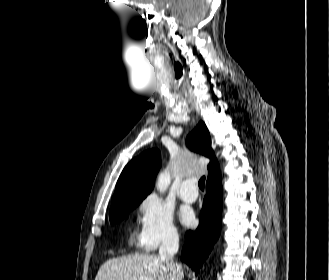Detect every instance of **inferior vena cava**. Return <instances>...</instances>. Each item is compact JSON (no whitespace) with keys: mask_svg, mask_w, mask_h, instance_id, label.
Wrapping results in <instances>:
<instances>
[{"mask_svg":"<svg viewBox=\"0 0 329 280\" xmlns=\"http://www.w3.org/2000/svg\"><path fill=\"white\" fill-rule=\"evenodd\" d=\"M179 236L176 230H170L164 236L160 248L159 256L172 270L181 273L182 267L174 261V255L178 252Z\"/></svg>","mask_w":329,"mask_h":280,"instance_id":"1","label":"inferior vena cava"}]
</instances>
